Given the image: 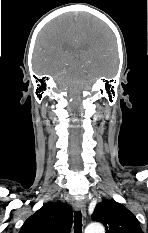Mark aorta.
Wrapping results in <instances>:
<instances>
[{"label":"aorta","mask_w":148,"mask_h":233,"mask_svg":"<svg viewBox=\"0 0 148 233\" xmlns=\"http://www.w3.org/2000/svg\"><path fill=\"white\" fill-rule=\"evenodd\" d=\"M85 233H105V229L101 223L95 222L86 227Z\"/></svg>","instance_id":"aorta-1"}]
</instances>
